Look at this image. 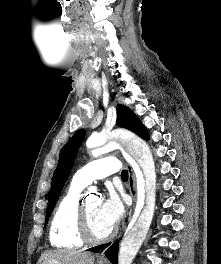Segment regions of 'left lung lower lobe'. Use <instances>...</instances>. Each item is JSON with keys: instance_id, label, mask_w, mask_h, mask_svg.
Instances as JSON below:
<instances>
[{"instance_id": "0a47b994", "label": "left lung lower lobe", "mask_w": 221, "mask_h": 264, "mask_svg": "<svg viewBox=\"0 0 221 264\" xmlns=\"http://www.w3.org/2000/svg\"><path fill=\"white\" fill-rule=\"evenodd\" d=\"M110 245V243L108 244H103V245H100V246H97V247H93V248H90L89 250L90 251H93V252H98L106 247H108ZM118 247H119V243L118 242H115L110 248H108L105 252V255L106 257L109 259V261L112 263V264H117V254H118Z\"/></svg>"}]
</instances>
